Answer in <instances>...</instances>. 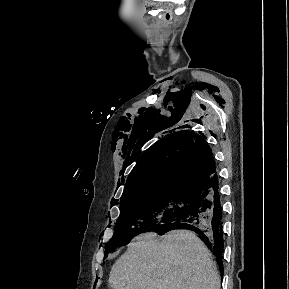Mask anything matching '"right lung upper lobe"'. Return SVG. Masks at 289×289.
<instances>
[{
    "label": "right lung upper lobe",
    "mask_w": 289,
    "mask_h": 289,
    "mask_svg": "<svg viewBox=\"0 0 289 289\" xmlns=\"http://www.w3.org/2000/svg\"><path fill=\"white\" fill-rule=\"evenodd\" d=\"M218 181L204 138L180 131L150 147L129 174L121 202L138 196L183 191L199 194Z\"/></svg>",
    "instance_id": "1"
}]
</instances>
